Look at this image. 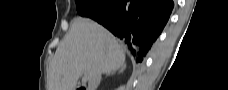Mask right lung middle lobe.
Returning a JSON list of instances; mask_svg holds the SVG:
<instances>
[{"mask_svg": "<svg viewBox=\"0 0 228 90\" xmlns=\"http://www.w3.org/2000/svg\"><path fill=\"white\" fill-rule=\"evenodd\" d=\"M106 2V0H76L78 14L89 18L96 17Z\"/></svg>", "mask_w": 228, "mask_h": 90, "instance_id": "1", "label": "right lung middle lobe"}]
</instances>
